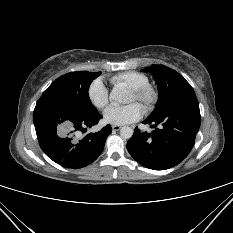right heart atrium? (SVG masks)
I'll return each mask as SVG.
<instances>
[{
	"label": "right heart atrium",
	"instance_id": "right-heart-atrium-1",
	"mask_svg": "<svg viewBox=\"0 0 233 233\" xmlns=\"http://www.w3.org/2000/svg\"><path fill=\"white\" fill-rule=\"evenodd\" d=\"M88 98L97 109H103L109 102V92L103 82L94 80L88 88Z\"/></svg>",
	"mask_w": 233,
	"mask_h": 233
}]
</instances>
